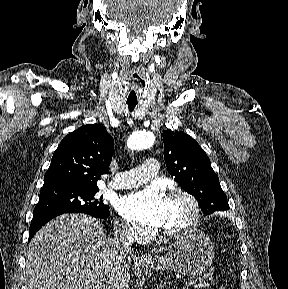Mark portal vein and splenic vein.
<instances>
[{"label": "portal vein and splenic vein", "instance_id": "portal-vein-and-splenic-vein-1", "mask_svg": "<svg viewBox=\"0 0 288 289\" xmlns=\"http://www.w3.org/2000/svg\"><path fill=\"white\" fill-rule=\"evenodd\" d=\"M191 285H193V282L192 281H188L185 283L183 289H187L188 287H190Z\"/></svg>", "mask_w": 288, "mask_h": 289}]
</instances>
